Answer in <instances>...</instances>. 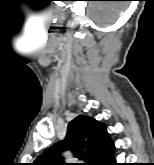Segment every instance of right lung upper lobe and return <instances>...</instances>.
<instances>
[{
    "label": "right lung upper lobe",
    "mask_w": 154,
    "mask_h": 165,
    "mask_svg": "<svg viewBox=\"0 0 154 165\" xmlns=\"http://www.w3.org/2000/svg\"><path fill=\"white\" fill-rule=\"evenodd\" d=\"M109 139L103 123L86 116H78L69 123L65 140L40 155L33 165H67L60 156V152L66 149L71 150L75 157L84 158L92 165Z\"/></svg>",
    "instance_id": "obj_1"
}]
</instances>
